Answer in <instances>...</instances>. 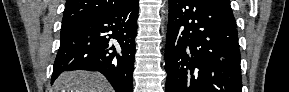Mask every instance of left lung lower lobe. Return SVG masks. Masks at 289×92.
I'll return each instance as SVG.
<instances>
[{
	"instance_id": "1",
	"label": "left lung lower lobe",
	"mask_w": 289,
	"mask_h": 92,
	"mask_svg": "<svg viewBox=\"0 0 289 92\" xmlns=\"http://www.w3.org/2000/svg\"><path fill=\"white\" fill-rule=\"evenodd\" d=\"M166 92H242L231 7L216 0H169Z\"/></svg>"
}]
</instances>
